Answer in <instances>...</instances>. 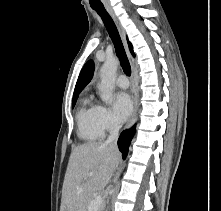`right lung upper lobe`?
<instances>
[{"mask_svg":"<svg viewBox=\"0 0 221 211\" xmlns=\"http://www.w3.org/2000/svg\"><path fill=\"white\" fill-rule=\"evenodd\" d=\"M128 44H129L130 51L132 55L134 56L132 45L129 41H128ZM93 72H94V62L92 60H89L88 62H86L83 69L81 70V73L79 75V78L75 86L73 97L78 96L79 93L83 90V88L90 82L93 76Z\"/></svg>","mask_w":221,"mask_h":211,"instance_id":"right-lung-upper-lobe-1","label":"right lung upper lobe"}]
</instances>
